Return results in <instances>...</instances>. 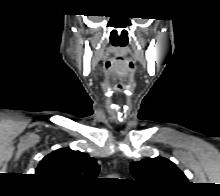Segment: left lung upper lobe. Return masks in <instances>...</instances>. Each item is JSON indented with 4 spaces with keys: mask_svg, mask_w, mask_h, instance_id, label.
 Returning a JSON list of instances; mask_svg holds the SVG:
<instances>
[{
    "mask_svg": "<svg viewBox=\"0 0 220 196\" xmlns=\"http://www.w3.org/2000/svg\"><path fill=\"white\" fill-rule=\"evenodd\" d=\"M130 170L140 183L160 189H178L188 184L184 173L163 157L133 162Z\"/></svg>",
    "mask_w": 220,
    "mask_h": 196,
    "instance_id": "obj_1",
    "label": "left lung upper lobe"
}]
</instances>
